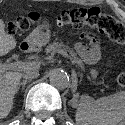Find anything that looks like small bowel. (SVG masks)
I'll return each instance as SVG.
<instances>
[{
	"instance_id": "obj_1",
	"label": "small bowel",
	"mask_w": 125,
	"mask_h": 125,
	"mask_svg": "<svg viewBox=\"0 0 125 125\" xmlns=\"http://www.w3.org/2000/svg\"><path fill=\"white\" fill-rule=\"evenodd\" d=\"M75 49L79 55L86 58L90 56H97L99 54V46L95 38H93L92 44L90 46H87L83 43H76Z\"/></svg>"
}]
</instances>
